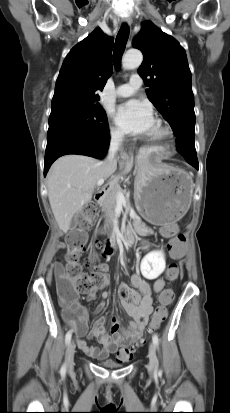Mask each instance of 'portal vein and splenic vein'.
<instances>
[{
	"label": "portal vein and splenic vein",
	"mask_w": 230,
	"mask_h": 413,
	"mask_svg": "<svg viewBox=\"0 0 230 413\" xmlns=\"http://www.w3.org/2000/svg\"><path fill=\"white\" fill-rule=\"evenodd\" d=\"M103 183H104V179H99L98 182H97V185L101 186ZM116 202H117V204H120V205H126L127 201H126V198H125L123 193H121V192L117 193ZM133 216L135 217V215H133Z\"/></svg>",
	"instance_id": "18ae733b"
}]
</instances>
